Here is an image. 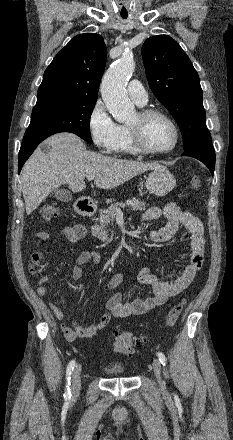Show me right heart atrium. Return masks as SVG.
Instances as JSON below:
<instances>
[{
	"instance_id": "obj_1",
	"label": "right heart atrium",
	"mask_w": 233,
	"mask_h": 440,
	"mask_svg": "<svg viewBox=\"0 0 233 440\" xmlns=\"http://www.w3.org/2000/svg\"><path fill=\"white\" fill-rule=\"evenodd\" d=\"M88 128L95 146L105 154L118 150L122 138V126L114 121L102 101H97L88 117Z\"/></svg>"
}]
</instances>
